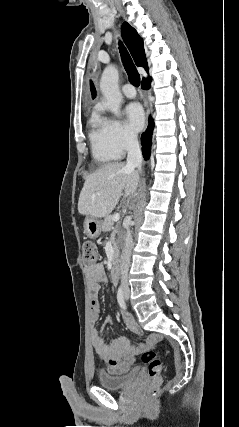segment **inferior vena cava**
I'll return each instance as SVG.
<instances>
[{
    "mask_svg": "<svg viewBox=\"0 0 239 427\" xmlns=\"http://www.w3.org/2000/svg\"><path fill=\"white\" fill-rule=\"evenodd\" d=\"M127 163L126 167L128 169L138 168L141 169L142 164V154L139 147L138 139L134 135H129L127 137ZM133 247V239L130 230H127L125 236V244L122 249L121 258H120V273H121V285L123 289H129L128 285V271L130 266L131 259V250Z\"/></svg>",
    "mask_w": 239,
    "mask_h": 427,
    "instance_id": "obj_1",
    "label": "inferior vena cava"
}]
</instances>
